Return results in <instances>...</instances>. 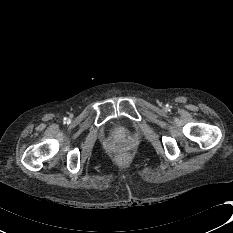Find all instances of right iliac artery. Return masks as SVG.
Segmentation results:
<instances>
[{"label":"right iliac artery","instance_id":"right-iliac-artery-1","mask_svg":"<svg viewBox=\"0 0 233 233\" xmlns=\"http://www.w3.org/2000/svg\"><path fill=\"white\" fill-rule=\"evenodd\" d=\"M66 121H67V119H66V118H64V123H66Z\"/></svg>","mask_w":233,"mask_h":233}]
</instances>
